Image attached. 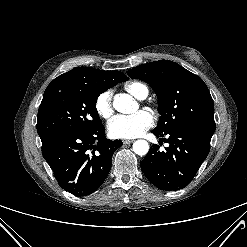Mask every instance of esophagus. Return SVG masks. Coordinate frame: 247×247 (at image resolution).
<instances>
[{
	"label": "esophagus",
	"instance_id": "34e87169",
	"mask_svg": "<svg viewBox=\"0 0 247 247\" xmlns=\"http://www.w3.org/2000/svg\"><path fill=\"white\" fill-rule=\"evenodd\" d=\"M122 142H123V144H131V143L134 142V140L125 139V140H123Z\"/></svg>",
	"mask_w": 247,
	"mask_h": 247
}]
</instances>
